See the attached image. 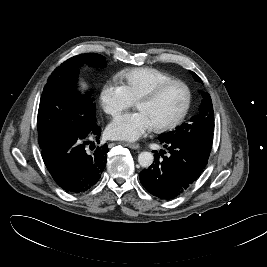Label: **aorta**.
Segmentation results:
<instances>
[{
	"mask_svg": "<svg viewBox=\"0 0 267 267\" xmlns=\"http://www.w3.org/2000/svg\"><path fill=\"white\" fill-rule=\"evenodd\" d=\"M154 156L151 152L143 151L138 155V163L141 167L148 168L152 165Z\"/></svg>",
	"mask_w": 267,
	"mask_h": 267,
	"instance_id": "obj_1",
	"label": "aorta"
}]
</instances>
